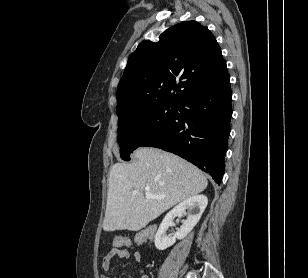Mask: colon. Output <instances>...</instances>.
Returning a JSON list of instances; mask_svg holds the SVG:
<instances>
[{"label": "colon", "mask_w": 308, "mask_h": 278, "mask_svg": "<svg viewBox=\"0 0 308 278\" xmlns=\"http://www.w3.org/2000/svg\"><path fill=\"white\" fill-rule=\"evenodd\" d=\"M158 227L157 226H147L146 230H141L139 232V235H134L133 240L134 242H154V237L157 235ZM113 243L116 247H124L130 245V239L124 236H116L113 240ZM130 248L132 250H135L137 248V245L135 243H132L130 245Z\"/></svg>", "instance_id": "obj_1"}]
</instances>
